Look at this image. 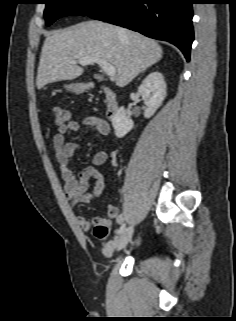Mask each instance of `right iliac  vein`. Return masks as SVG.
Wrapping results in <instances>:
<instances>
[{
    "mask_svg": "<svg viewBox=\"0 0 236 321\" xmlns=\"http://www.w3.org/2000/svg\"><path fill=\"white\" fill-rule=\"evenodd\" d=\"M133 232L134 228L133 226H130L120 235V237L116 240L115 243V248L117 251H120L127 246V244L132 238Z\"/></svg>",
    "mask_w": 236,
    "mask_h": 321,
    "instance_id": "obj_1",
    "label": "right iliac vein"
}]
</instances>
